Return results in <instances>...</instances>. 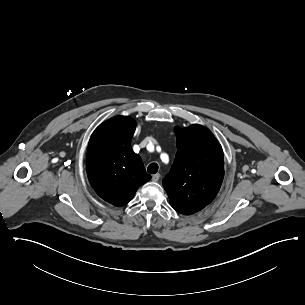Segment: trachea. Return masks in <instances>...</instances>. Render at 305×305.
Returning <instances> with one entry per match:
<instances>
[{
  "instance_id": "obj_1",
  "label": "trachea",
  "mask_w": 305,
  "mask_h": 305,
  "mask_svg": "<svg viewBox=\"0 0 305 305\" xmlns=\"http://www.w3.org/2000/svg\"><path fill=\"white\" fill-rule=\"evenodd\" d=\"M147 171L151 174H155L158 172V164L152 163L148 166Z\"/></svg>"
}]
</instances>
